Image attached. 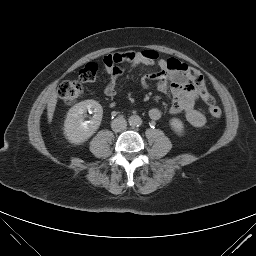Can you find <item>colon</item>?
<instances>
[{
  "label": "colon",
  "mask_w": 256,
  "mask_h": 256,
  "mask_svg": "<svg viewBox=\"0 0 256 256\" xmlns=\"http://www.w3.org/2000/svg\"><path fill=\"white\" fill-rule=\"evenodd\" d=\"M150 56H156L154 52L149 53ZM119 59L115 54H110L104 57L103 64L105 68L113 69L118 66ZM98 65L95 62L87 63L79 71V79L81 82H92L97 78ZM185 72L189 77L192 85L200 94L203 101L209 106V113L214 118L222 116L221 109L215 105V99L206 88V83L203 75L192 67L185 68ZM58 95L66 104H74L77 102L84 93L83 86L78 81H63L58 86Z\"/></svg>",
  "instance_id": "5ec220e1"
}]
</instances>
